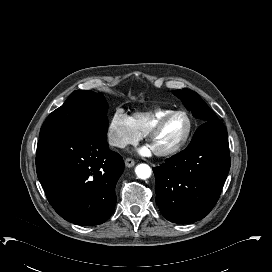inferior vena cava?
<instances>
[{
	"mask_svg": "<svg viewBox=\"0 0 272 272\" xmlns=\"http://www.w3.org/2000/svg\"><path fill=\"white\" fill-rule=\"evenodd\" d=\"M109 145L123 148L126 146V142L117 136H109Z\"/></svg>",
	"mask_w": 272,
	"mask_h": 272,
	"instance_id": "1",
	"label": "inferior vena cava"
}]
</instances>
